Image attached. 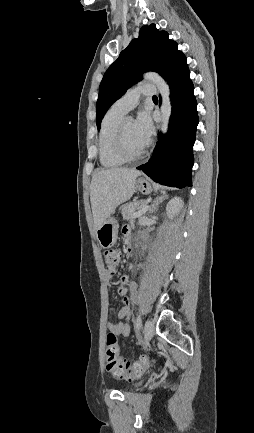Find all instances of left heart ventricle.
<instances>
[{
	"mask_svg": "<svg viewBox=\"0 0 254 433\" xmlns=\"http://www.w3.org/2000/svg\"><path fill=\"white\" fill-rule=\"evenodd\" d=\"M124 133L126 146L131 153H138L146 146L147 142L137 133L135 123L132 119L126 120Z\"/></svg>",
	"mask_w": 254,
	"mask_h": 433,
	"instance_id": "b2bd125f",
	"label": "left heart ventricle"
}]
</instances>
